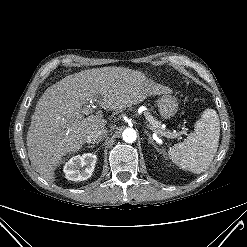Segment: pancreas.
I'll return each instance as SVG.
<instances>
[{
	"label": "pancreas",
	"mask_w": 247,
	"mask_h": 247,
	"mask_svg": "<svg viewBox=\"0 0 247 247\" xmlns=\"http://www.w3.org/2000/svg\"><path fill=\"white\" fill-rule=\"evenodd\" d=\"M146 120L149 123V126L153 128V130L157 131L160 135L165 136L167 138H175L176 135L170 131H165L161 127V122L155 119L151 115H146Z\"/></svg>",
	"instance_id": "pancreas-1"
}]
</instances>
